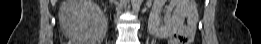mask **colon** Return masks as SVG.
Listing matches in <instances>:
<instances>
[{
    "instance_id": "colon-1",
    "label": "colon",
    "mask_w": 261,
    "mask_h": 44,
    "mask_svg": "<svg viewBox=\"0 0 261 44\" xmlns=\"http://www.w3.org/2000/svg\"><path fill=\"white\" fill-rule=\"evenodd\" d=\"M170 44H184V39L182 37H175L169 40Z\"/></svg>"
}]
</instances>
